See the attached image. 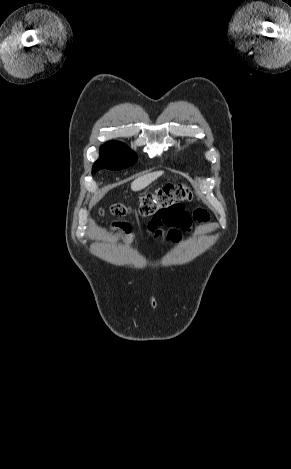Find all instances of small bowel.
Instances as JSON below:
<instances>
[{
  "mask_svg": "<svg viewBox=\"0 0 291 469\" xmlns=\"http://www.w3.org/2000/svg\"><path fill=\"white\" fill-rule=\"evenodd\" d=\"M194 219L204 222L208 220V215L197 213ZM191 224V216L184 209L175 207L153 217L147 224V231L154 240L166 238L172 243H178L182 239V233L190 231ZM113 227L123 231V234L116 237L117 240L131 243L135 239V234L132 233V228L128 223H114Z\"/></svg>",
  "mask_w": 291,
  "mask_h": 469,
  "instance_id": "1",
  "label": "small bowel"
}]
</instances>
